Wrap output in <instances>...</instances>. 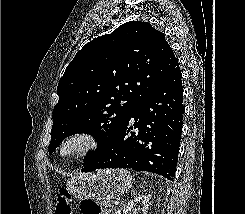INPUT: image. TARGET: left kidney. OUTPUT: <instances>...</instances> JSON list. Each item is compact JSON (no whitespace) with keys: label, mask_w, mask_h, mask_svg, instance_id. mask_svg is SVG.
<instances>
[{"label":"left kidney","mask_w":245,"mask_h":214,"mask_svg":"<svg viewBox=\"0 0 245 214\" xmlns=\"http://www.w3.org/2000/svg\"><path fill=\"white\" fill-rule=\"evenodd\" d=\"M148 201L149 199L145 195L135 197L134 200H131L130 202H128V204L124 207V210L126 209L127 211H129L134 206L139 204V208L136 210V213L134 214H147ZM121 212L122 210H119L116 214H121Z\"/></svg>","instance_id":"5707ae66"}]
</instances>
